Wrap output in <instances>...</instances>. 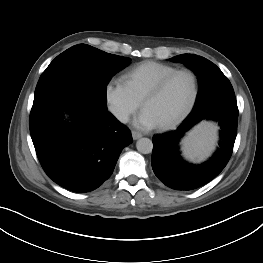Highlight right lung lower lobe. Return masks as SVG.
Here are the masks:
<instances>
[{
    "label": "right lung lower lobe",
    "mask_w": 263,
    "mask_h": 263,
    "mask_svg": "<svg viewBox=\"0 0 263 263\" xmlns=\"http://www.w3.org/2000/svg\"><path fill=\"white\" fill-rule=\"evenodd\" d=\"M68 110L72 122L62 120ZM30 133L46 174L58 185L85 193L101 186L113 173L131 132L107 107L75 91L33 102Z\"/></svg>",
    "instance_id": "right-lung-lower-lobe-1"
}]
</instances>
